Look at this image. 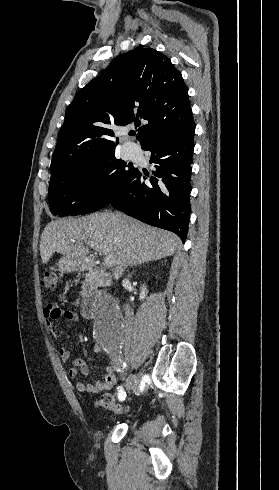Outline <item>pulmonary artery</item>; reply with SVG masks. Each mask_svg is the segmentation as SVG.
I'll list each match as a JSON object with an SVG mask.
<instances>
[{
  "mask_svg": "<svg viewBox=\"0 0 279 490\" xmlns=\"http://www.w3.org/2000/svg\"><path fill=\"white\" fill-rule=\"evenodd\" d=\"M136 145H129L124 148V155L128 158H133L136 155Z\"/></svg>",
  "mask_w": 279,
  "mask_h": 490,
  "instance_id": "e3ab8cb5",
  "label": "pulmonary artery"
}]
</instances>
